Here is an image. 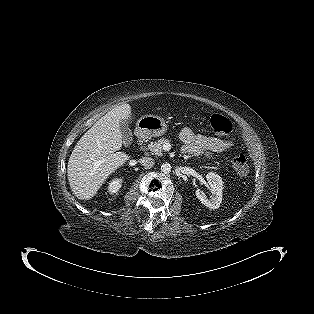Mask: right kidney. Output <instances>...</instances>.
Returning <instances> with one entry per match:
<instances>
[{
  "label": "right kidney",
  "instance_id": "right-kidney-1",
  "mask_svg": "<svg viewBox=\"0 0 314 314\" xmlns=\"http://www.w3.org/2000/svg\"><path fill=\"white\" fill-rule=\"evenodd\" d=\"M121 183H122L121 179H115L111 181L108 186V191L112 194L117 193L119 188L121 187Z\"/></svg>",
  "mask_w": 314,
  "mask_h": 314
}]
</instances>
